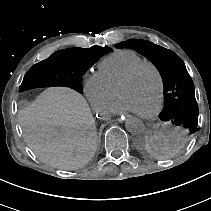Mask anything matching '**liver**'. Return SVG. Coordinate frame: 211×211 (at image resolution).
Wrapping results in <instances>:
<instances>
[{
	"mask_svg": "<svg viewBox=\"0 0 211 211\" xmlns=\"http://www.w3.org/2000/svg\"><path fill=\"white\" fill-rule=\"evenodd\" d=\"M18 118L28 147L44 162L76 169L93 156L97 141L95 120L77 92L47 89L21 109Z\"/></svg>",
	"mask_w": 211,
	"mask_h": 211,
	"instance_id": "obj_1",
	"label": "liver"
}]
</instances>
